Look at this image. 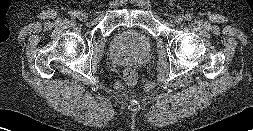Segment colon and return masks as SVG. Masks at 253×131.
<instances>
[{"mask_svg": "<svg viewBox=\"0 0 253 131\" xmlns=\"http://www.w3.org/2000/svg\"><path fill=\"white\" fill-rule=\"evenodd\" d=\"M124 76H125L126 81H127L129 84H131V85L135 84L136 79H137V75H136V73H135L134 70H132V69H127V70L125 71V73H124Z\"/></svg>", "mask_w": 253, "mask_h": 131, "instance_id": "obj_1", "label": "colon"}]
</instances>
